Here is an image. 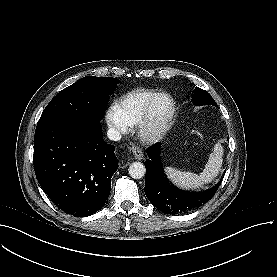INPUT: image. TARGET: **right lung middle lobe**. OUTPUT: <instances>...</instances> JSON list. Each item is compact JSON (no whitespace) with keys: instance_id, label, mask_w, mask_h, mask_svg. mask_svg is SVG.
<instances>
[{"instance_id":"right-lung-middle-lobe-1","label":"right lung middle lobe","mask_w":277,"mask_h":277,"mask_svg":"<svg viewBox=\"0 0 277 277\" xmlns=\"http://www.w3.org/2000/svg\"><path fill=\"white\" fill-rule=\"evenodd\" d=\"M119 82L116 78L86 76L59 92L44 109L37 126L61 121L101 119Z\"/></svg>"}]
</instances>
